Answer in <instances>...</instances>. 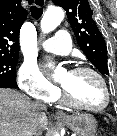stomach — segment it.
I'll return each instance as SVG.
<instances>
[{
    "instance_id": "obj_1",
    "label": "stomach",
    "mask_w": 117,
    "mask_h": 136,
    "mask_svg": "<svg viewBox=\"0 0 117 136\" xmlns=\"http://www.w3.org/2000/svg\"><path fill=\"white\" fill-rule=\"evenodd\" d=\"M63 122L79 136H94L97 130V121L90 114L72 115Z\"/></svg>"
}]
</instances>
